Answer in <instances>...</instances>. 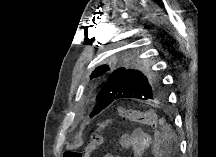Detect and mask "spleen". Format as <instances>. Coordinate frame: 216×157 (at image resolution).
<instances>
[{
  "mask_svg": "<svg viewBox=\"0 0 216 157\" xmlns=\"http://www.w3.org/2000/svg\"><path fill=\"white\" fill-rule=\"evenodd\" d=\"M164 144L167 145L166 143L168 142L169 144H172L173 142H176V137L174 133L170 132L169 134L162 135Z\"/></svg>",
  "mask_w": 216,
  "mask_h": 157,
  "instance_id": "1",
  "label": "spleen"
}]
</instances>
